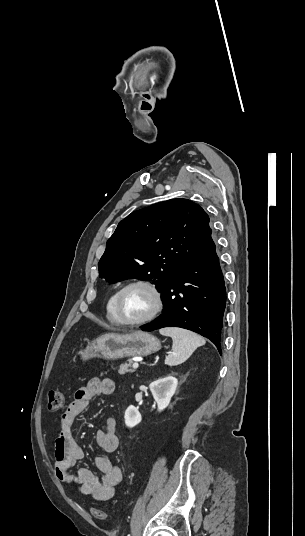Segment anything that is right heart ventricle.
<instances>
[{"instance_id":"obj_1","label":"right heart ventricle","mask_w":305,"mask_h":536,"mask_svg":"<svg viewBox=\"0 0 305 536\" xmlns=\"http://www.w3.org/2000/svg\"><path fill=\"white\" fill-rule=\"evenodd\" d=\"M118 290L119 289H115L111 293V295L109 296V298L107 300L106 306H105V317H106L107 321L111 325H114V326H119V322L117 320V317L115 315V310H114V302H115V297H116V294H117Z\"/></svg>"}]
</instances>
